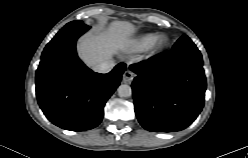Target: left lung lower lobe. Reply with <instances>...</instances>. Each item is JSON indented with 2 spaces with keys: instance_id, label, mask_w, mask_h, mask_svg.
I'll list each match as a JSON object with an SVG mask.
<instances>
[{
  "instance_id": "0a47b994",
  "label": "left lung lower lobe",
  "mask_w": 248,
  "mask_h": 158,
  "mask_svg": "<svg viewBox=\"0 0 248 158\" xmlns=\"http://www.w3.org/2000/svg\"><path fill=\"white\" fill-rule=\"evenodd\" d=\"M202 56L188 36L172 50L130 66L134 108L148 131L171 132L188 127L204 106L206 78Z\"/></svg>"
}]
</instances>
